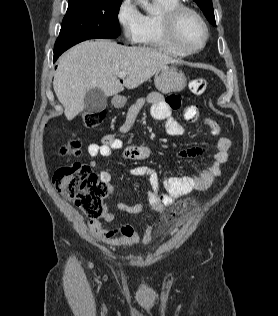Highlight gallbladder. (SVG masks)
Masks as SVG:
<instances>
[{"mask_svg": "<svg viewBox=\"0 0 278 316\" xmlns=\"http://www.w3.org/2000/svg\"><path fill=\"white\" fill-rule=\"evenodd\" d=\"M107 107V96L95 87L89 90L84 97V109L88 113L100 112Z\"/></svg>", "mask_w": 278, "mask_h": 316, "instance_id": "bac80fb5", "label": "gallbladder"}]
</instances>
